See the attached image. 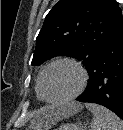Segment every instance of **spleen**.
<instances>
[{
    "label": "spleen",
    "mask_w": 123,
    "mask_h": 130,
    "mask_svg": "<svg viewBox=\"0 0 123 130\" xmlns=\"http://www.w3.org/2000/svg\"><path fill=\"white\" fill-rule=\"evenodd\" d=\"M85 105L93 114L91 130H123V121L107 108L92 103Z\"/></svg>",
    "instance_id": "1"
}]
</instances>
